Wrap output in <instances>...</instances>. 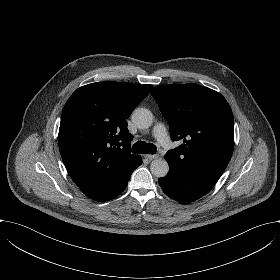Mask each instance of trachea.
Segmentation results:
<instances>
[{
    "instance_id": "1",
    "label": "trachea",
    "mask_w": 280,
    "mask_h": 280,
    "mask_svg": "<svg viewBox=\"0 0 280 280\" xmlns=\"http://www.w3.org/2000/svg\"><path fill=\"white\" fill-rule=\"evenodd\" d=\"M132 152L135 154H155L156 146L145 141H137L132 147Z\"/></svg>"
}]
</instances>
